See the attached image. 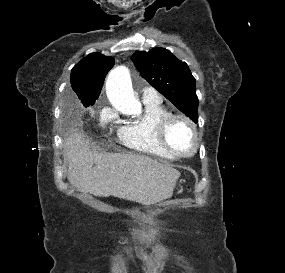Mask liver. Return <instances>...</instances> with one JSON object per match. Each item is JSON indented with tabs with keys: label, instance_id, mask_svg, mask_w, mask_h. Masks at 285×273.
I'll return each instance as SVG.
<instances>
[{
	"label": "liver",
	"instance_id": "1",
	"mask_svg": "<svg viewBox=\"0 0 285 273\" xmlns=\"http://www.w3.org/2000/svg\"><path fill=\"white\" fill-rule=\"evenodd\" d=\"M64 148L67 179L82 193L151 205L170 198L180 177L171 165L148 156L91 151L79 131L71 132Z\"/></svg>",
	"mask_w": 285,
	"mask_h": 273
}]
</instances>
